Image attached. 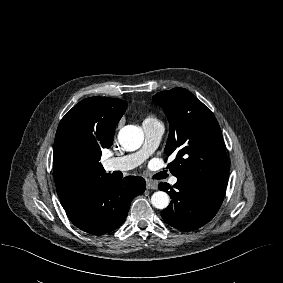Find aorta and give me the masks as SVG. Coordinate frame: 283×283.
<instances>
[{
  "instance_id": "1",
  "label": "aorta",
  "mask_w": 283,
  "mask_h": 283,
  "mask_svg": "<svg viewBox=\"0 0 283 283\" xmlns=\"http://www.w3.org/2000/svg\"><path fill=\"white\" fill-rule=\"evenodd\" d=\"M143 139L142 130L134 125L124 126L118 134L119 143L127 151L138 149ZM151 203L157 209H165L169 205V196L166 192L157 191L151 196Z\"/></svg>"
}]
</instances>
